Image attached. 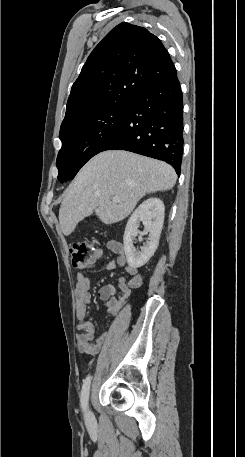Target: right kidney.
Segmentation results:
<instances>
[{
  "label": "right kidney",
  "mask_w": 245,
  "mask_h": 457,
  "mask_svg": "<svg viewBox=\"0 0 245 457\" xmlns=\"http://www.w3.org/2000/svg\"><path fill=\"white\" fill-rule=\"evenodd\" d=\"M164 212V202L160 198H147L132 212L123 237L126 261L132 269L143 267L150 257H153L159 245ZM139 222H143L145 226L144 233L138 231ZM145 233H149L147 245L141 247L142 251H136L133 241L137 235L142 237Z\"/></svg>",
  "instance_id": "ca27d5eb"
}]
</instances>
